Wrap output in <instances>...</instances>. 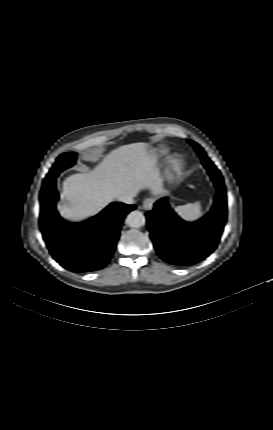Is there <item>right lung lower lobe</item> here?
Segmentation results:
<instances>
[{"mask_svg":"<svg viewBox=\"0 0 273 430\" xmlns=\"http://www.w3.org/2000/svg\"><path fill=\"white\" fill-rule=\"evenodd\" d=\"M56 177L43 182L40 193V229L52 257L76 273L104 268L113 256L124 217L134 205L112 203L95 217L70 224L56 211Z\"/></svg>","mask_w":273,"mask_h":430,"instance_id":"98d812e1","label":"right lung lower lobe"}]
</instances>
